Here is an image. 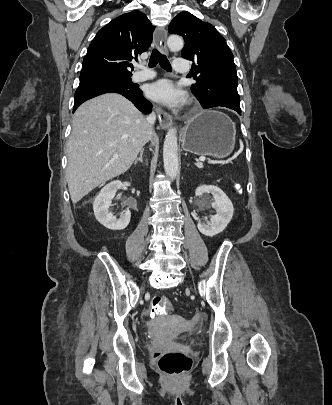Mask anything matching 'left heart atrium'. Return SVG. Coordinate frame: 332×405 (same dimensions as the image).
Listing matches in <instances>:
<instances>
[{"label": "left heart atrium", "mask_w": 332, "mask_h": 405, "mask_svg": "<svg viewBox=\"0 0 332 405\" xmlns=\"http://www.w3.org/2000/svg\"><path fill=\"white\" fill-rule=\"evenodd\" d=\"M148 96L170 107L180 106L185 99L184 93L168 80H160L151 84L147 89Z\"/></svg>", "instance_id": "39dd6f15"}]
</instances>
